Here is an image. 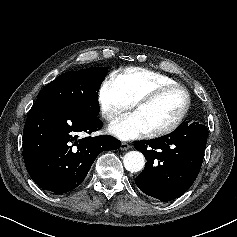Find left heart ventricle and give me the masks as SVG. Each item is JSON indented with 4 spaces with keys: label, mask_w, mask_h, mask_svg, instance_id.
<instances>
[{
    "label": "left heart ventricle",
    "mask_w": 237,
    "mask_h": 237,
    "mask_svg": "<svg viewBox=\"0 0 237 237\" xmlns=\"http://www.w3.org/2000/svg\"><path fill=\"white\" fill-rule=\"evenodd\" d=\"M185 96L180 90H170L156 100L134 109L149 131L169 125L180 113Z\"/></svg>",
    "instance_id": "b2bd125f"
}]
</instances>
